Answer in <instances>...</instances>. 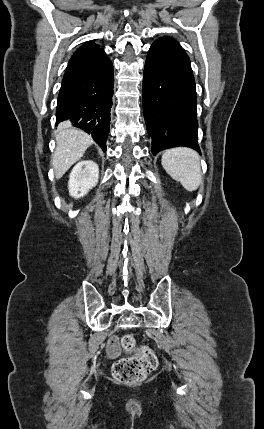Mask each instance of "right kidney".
Returning <instances> with one entry per match:
<instances>
[{
  "mask_svg": "<svg viewBox=\"0 0 264 429\" xmlns=\"http://www.w3.org/2000/svg\"><path fill=\"white\" fill-rule=\"evenodd\" d=\"M99 168L92 160L78 162L68 181L69 194L74 198L86 195L98 183Z\"/></svg>",
  "mask_w": 264,
  "mask_h": 429,
  "instance_id": "right-kidney-1",
  "label": "right kidney"
}]
</instances>
